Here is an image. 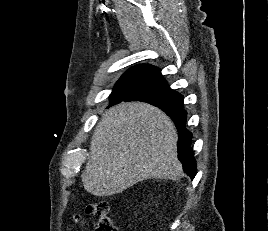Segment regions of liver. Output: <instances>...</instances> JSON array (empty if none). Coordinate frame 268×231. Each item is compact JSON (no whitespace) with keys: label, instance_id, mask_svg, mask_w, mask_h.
I'll use <instances>...</instances> for the list:
<instances>
[{"label":"liver","instance_id":"1","mask_svg":"<svg viewBox=\"0 0 268 231\" xmlns=\"http://www.w3.org/2000/svg\"><path fill=\"white\" fill-rule=\"evenodd\" d=\"M177 130L159 108L143 102L118 104L97 124L90 157L81 174L84 188L94 196L121 193L150 179L178 180Z\"/></svg>","mask_w":268,"mask_h":231}]
</instances>
